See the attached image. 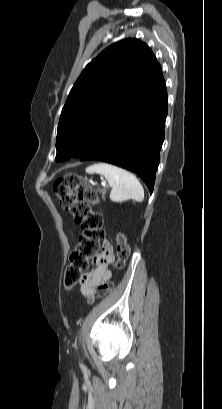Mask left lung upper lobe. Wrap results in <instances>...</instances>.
Returning a JSON list of instances; mask_svg holds the SVG:
<instances>
[{
	"label": "left lung upper lobe",
	"mask_w": 222,
	"mask_h": 409,
	"mask_svg": "<svg viewBox=\"0 0 222 409\" xmlns=\"http://www.w3.org/2000/svg\"><path fill=\"white\" fill-rule=\"evenodd\" d=\"M163 84L160 64L145 43L125 39L106 48L69 93L58 124L56 160L80 158L127 101L147 98Z\"/></svg>",
	"instance_id": "left-lung-upper-lobe-1"
}]
</instances>
